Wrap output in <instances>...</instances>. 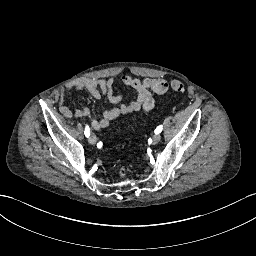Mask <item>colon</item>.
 <instances>
[{
  "label": "colon",
  "instance_id": "obj_1",
  "mask_svg": "<svg viewBox=\"0 0 256 256\" xmlns=\"http://www.w3.org/2000/svg\"><path fill=\"white\" fill-rule=\"evenodd\" d=\"M172 88H173L175 91H177V92H182V91H184V85H183L181 82H179V81L173 82ZM128 171H129V168H128L126 165H123V166L120 168L119 173H120L122 176H124V175H126V174L128 173Z\"/></svg>",
  "mask_w": 256,
  "mask_h": 256
}]
</instances>
